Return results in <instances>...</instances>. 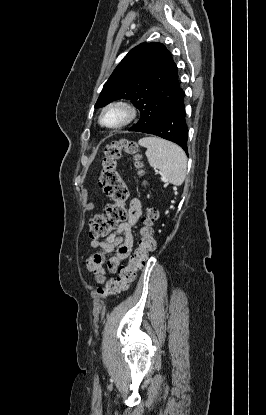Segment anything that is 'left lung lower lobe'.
<instances>
[{"label":"left lung lower lobe","mask_w":266,"mask_h":415,"mask_svg":"<svg viewBox=\"0 0 266 415\" xmlns=\"http://www.w3.org/2000/svg\"><path fill=\"white\" fill-rule=\"evenodd\" d=\"M184 91L167 113L155 124L144 130V133L154 134L177 143L187 154L188 128L184 104Z\"/></svg>","instance_id":"1"}]
</instances>
